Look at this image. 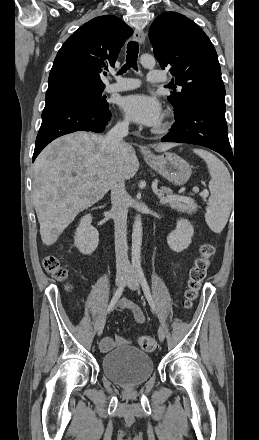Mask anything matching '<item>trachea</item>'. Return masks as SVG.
<instances>
[{"mask_svg":"<svg viewBox=\"0 0 259 440\" xmlns=\"http://www.w3.org/2000/svg\"><path fill=\"white\" fill-rule=\"evenodd\" d=\"M139 52V45L135 41H130L127 45L126 63L119 70V74L125 73L130 68L137 70V57Z\"/></svg>","mask_w":259,"mask_h":440,"instance_id":"obj_1","label":"trachea"}]
</instances>
